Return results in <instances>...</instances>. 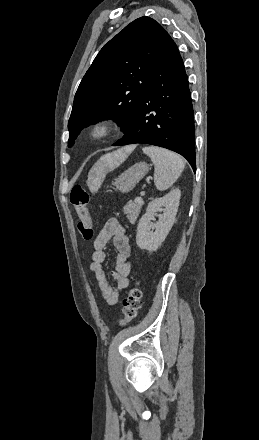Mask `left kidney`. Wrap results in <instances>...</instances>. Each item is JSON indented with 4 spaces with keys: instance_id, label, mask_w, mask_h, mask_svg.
Here are the masks:
<instances>
[{
    "instance_id": "5707ae66",
    "label": "left kidney",
    "mask_w": 259,
    "mask_h": 440,
    "mask_svg": "<svg viewBox=\"0 0 259 440\" xmlns=\"http://www.w3.org/2000/svg\"><path fill=\"white\" fill-rule=\"evenodd\" d=\"M180 197L181 191L176 188L148 204L146 213L139 220L137 227L136 243L139 248L149 252L158 249L175 222ZM157 212L163 213L158 215ZM157 215L159 220L153 223L152 220Z\"/></svg>"
}]
</instances>
